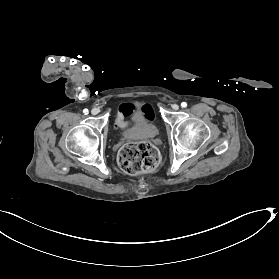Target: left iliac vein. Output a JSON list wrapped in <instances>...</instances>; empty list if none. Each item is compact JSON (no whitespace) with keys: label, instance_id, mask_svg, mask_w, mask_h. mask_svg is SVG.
<instances>
[{"label":"left iliac vein","instance_id":"left-iliac-vein-1","mask_svg":"<svg viewBox=\"0 0 279 279\" xmlns=\"http://www.w3.org/2000/svg\"><path fill=\"white\" fill-rule=\"evenodd\" d=\"M172 108H173L174 110H178V109H179V106H178L177 104H173V105H172Z\"/></svg>","mask_w":279,"mask_h":279}]
</instances>
